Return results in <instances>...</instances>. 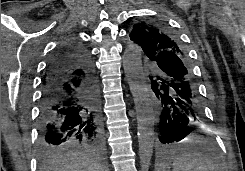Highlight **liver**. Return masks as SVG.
<instances>
[{
	"mask_svg": "<svg viewBox=\"0 0 245 171\" xmlns=\"http://www.w3.org/2000/svg\"><path fill=\"white\" fill-rule=\"evenodd\" d=\"M42 171H104V169L96 160L78 152H70L50 160L43 165Z\"/></svg>",
	"mask_w": 245,
	"mask_h": 171,
	"instance_id": "6515ba94",
	"label": "liver"
}]
</instances>
